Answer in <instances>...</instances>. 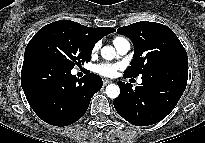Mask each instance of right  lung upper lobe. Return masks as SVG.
Masks as SVG:
<instances>
[{"mask_svg": "<svg viewBox=\"0 0 205 143\" xmlns=\"http://www.w3.org/2000/svg\"><path fill=\"white\" fill-rule=\"evenodd\" d=\"M73 22V21H72ZM74 24L79 27L84 34L95 44L99 39L104 37L105 35L116 31L110 27H98V28H91L87 26H83L79 23L74 22Z\"/></svg>", "mask_w": 205, "mask_h": 143, "instance_id": "obj_1", "label": "right lung upper lobe"}]
</instances>
